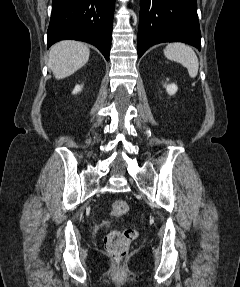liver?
<instances>
[{
    "mask_svg": "<svg viewBox=\"0 0 240 287\" xmlns=\"http://www.w3.org/2000/svg\"><path fill=\"white\" fill-rule=\"evenodd\" d=\"M89 56L90 50L84 43L60 41L49 50L48 67L56 79H63L83 67Z\"/></svg>",
    "mask_w": 240,
    "mask_h": 287,
    "instance_id": "liver-1",
    "label": "liver"
}]
</instances>
